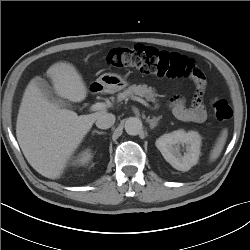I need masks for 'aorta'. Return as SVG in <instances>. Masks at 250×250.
<instances>
[{
  "instance_id": "762f6f07",
  "label": "aorta",
  "mask_w": 250,
  "mask_h": 250,
  "mask_svg": "<svg viewBox=\"0 0 250 250\" xmlns=\"http://www.w3.org/2000/svg\"><path fill=\"white\" fill-rule=\"evenodd\" d=\"M125 131L129 135H138L142 130V122L139 118L130 117L125 121Z\"/></svg>"
}]
</instances>
